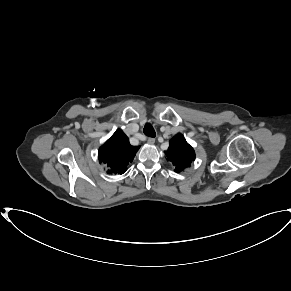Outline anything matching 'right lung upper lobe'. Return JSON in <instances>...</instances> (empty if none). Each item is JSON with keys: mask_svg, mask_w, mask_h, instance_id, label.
I'll return each instance as SVG.
<instances>
[{"mask_svg": "<svg viewBox=\"0 0 291 291\" xmlns=\"http://www.w3.org/2000/svg\"><path fill=\"white\" fill-rule=\"evenodd\" d=\"M138 147L129 143L128 137L122 130H117L98 152L99 162L106 165L108 173L123 174L127 165L133 161Z\"/></svg>", "mask_w": 291, "mask_h": 291, "instance_id": "right-lung-upper-lobe-1", "label": "right lung upper lobe"}]
</instances>
